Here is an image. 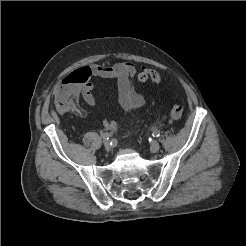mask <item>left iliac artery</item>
I'll return each instance as SVG.
<instances>
[{
  "instance_id": "obj_1",
  "label": "left iliac artery",
  "mask_w": 246,
  "mask_h": 246,
  "mask_svg": "<svg viewBox=\"0 0 246 246\" xmlns=\"http://www.w3.org/2000/svg\"><path fill=\"white\" fill-rule=\"evenodd\" d=\"M152 136H153V137H159V136H160V131H159V130H155V131L152 133Z\"/></svg>"
}]
</instances>
